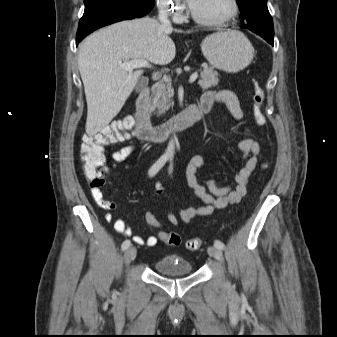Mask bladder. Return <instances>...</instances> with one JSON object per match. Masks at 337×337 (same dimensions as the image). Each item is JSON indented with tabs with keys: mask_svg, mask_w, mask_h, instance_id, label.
Segmentation results:
<instances>
[{
	"mask_svg": "<svg viewBox=\"0 0 337 337\" xmlns=\"http://www.w3.org/2000/svg\"><path fill=\"white\" fill-rule=\"evenodd\" d=\"M157 273L165 276L189 275L193 272L191 263L179 255H166L155 262Z\"/></svg>",
	"mask_w": 337,
	"mask_h": 337,
	"instance_id": "31cf9c89",
	"label": "bladder"
}]
</instances>
